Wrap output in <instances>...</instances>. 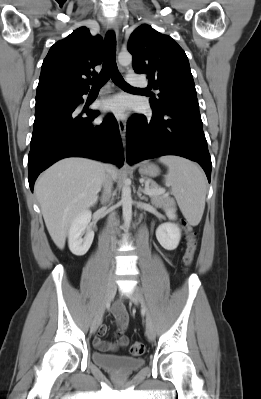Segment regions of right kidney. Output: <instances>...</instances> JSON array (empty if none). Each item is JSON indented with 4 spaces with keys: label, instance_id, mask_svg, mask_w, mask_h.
I'll return each instance as SVG.
<instances>
[{
    "label": "right kidney",
    "instance_id": "obj_1",
    "mask_svg": "<svg viewBox=\"0 0 261 399\" xmlns=\"http://www.w3.org/2000/svg\"><path fill=\"white\" fill-rule=\"evenodd\" d=\"M91 215L90 210H85L71 222L68 231V245L70 251L76 256L86 254L93 242L94 232L88 226L91 221ZM83 234H85L84 238H82Z\"/></svg>",
    "mask_w": 261,
    "mask_h": 399
}]
</instances>
